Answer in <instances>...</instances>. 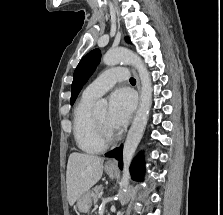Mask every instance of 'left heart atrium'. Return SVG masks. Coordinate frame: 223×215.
I'll return each instance as SVG.
<instances>
[{
    "mask_svg": "<svg viewBox=\"0 0 223 215\" xmlns=\"http://www.w3.org/2000/svg\"><path fill=\"white\" fill-rule=\"evenodd\" d=\"M134 108V99L127 89H119L109 97L107 123L112 129L125 126Z\"/></svg>",
    "mask_w": 223,
    "mask_h": 215,
    "instance_id": "obj_1",
    "label": "left heart atrium"
}]
</instances>
